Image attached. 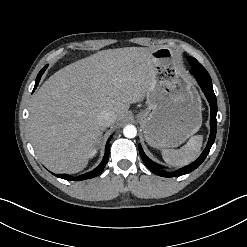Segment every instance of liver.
Wrapping results in <instances>:
<instances>
[{
    "label": "liver",
    "mask_w": 247,
    "mask_h": 247,
    "mask_svg": "<svg viewBox=\"0 0 247 247\" xmlns=\"http://www.w3.org/2000/svg\"><path fill=\"white\" fill-rule=\"evenodd\" d=\"M154 49L99 51L71 63L46 80L31 99L29 131L39 160L55 173L86 167L102 127L99 114L121 121L130 104L142 101L153 84Z\"/></svg>",
    "instance_id": "obj_1"
}]
</instances>
